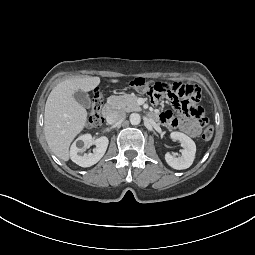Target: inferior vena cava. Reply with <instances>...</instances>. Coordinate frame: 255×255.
Wrapping results in <instances>:
<instances>
[{
    "label": "inferior vena cava",
    "mask_w": 255,
    "mask_h": 255,
    "mask_svg": "<svg viewBox=\"0 0 255 255\" xmlns=\"http://www.w3.org/2000/svg\"><path fill=\"white\" fill-rule=\"evenodd\" d=\"M126 116V113L123 111H113L107 116V123L114 124L122 121Z\"/></svg>",
    "instance_id": "inferior-vena-cava-1"
}]
</instances>
